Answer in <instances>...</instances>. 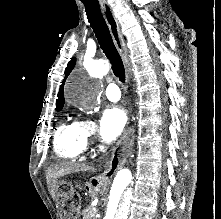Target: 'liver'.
Here are the masks:
<instances>
[{"instance_id": "1", "label": "liver", "mask_w": 221, "mask_h": 219, "mask_svg": "<svg viewBox=\"0 0 221 219\" xmlns=\"http://www.w3.org/2000/svg\"><path fill=\"white\" fill-rule=\"evenodd\" d=\"M92 168L85 164L64 162L59 165L51 166L47 169V183L50 195L56 197L57 179L76 172H86Z\"/></svg>"}]
</instances>
